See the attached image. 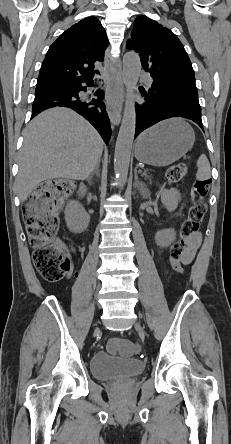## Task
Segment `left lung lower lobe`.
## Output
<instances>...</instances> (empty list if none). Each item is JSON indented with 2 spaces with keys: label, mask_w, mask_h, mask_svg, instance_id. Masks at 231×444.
<instances>
[{
  "label": "left lung lower lobe",
  "mask_w": 231,
  "mask_h": 444,
  "mask_svg": "<svg viewBox=\"0 0 231 444\" xmlns=\"http://www.w3.org/2000/svg\"><path fill=\"white\" fill-rule=\"evenodd\" d=\"M140 91L144 102L136 104L135 137L155 123L172 117L191 119L203 129L198 96L185 95L157 85H152L148 91Z\"/></svg>",
  "instance_id": "left-lung-lower-lobe-1"
}]
</instances>
